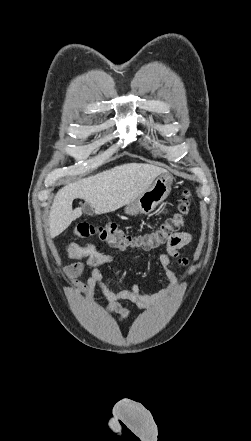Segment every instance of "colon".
I'll return each instance as SVG.
<instances>
[{"label":"colon","instance_id":"obj_1","mask_svg":"<svg viewBox=\"0 0 251 441\" xmlns=\"http://www.w3.org/2000/svg\"><path fill=\"white\" fill-rule=\"evenodd\" d=\"M191 195L188 191L183 193L178 205V212L164 220L158 228L140 235H130L114 222L94 224L80 222L74 227V234L79 238L99 237L109 245L118 249L135 248L149 250L166 242L184 225L190 212Z\"/></svg>","mask_w":251,"mask_h":441}]
</instances>
